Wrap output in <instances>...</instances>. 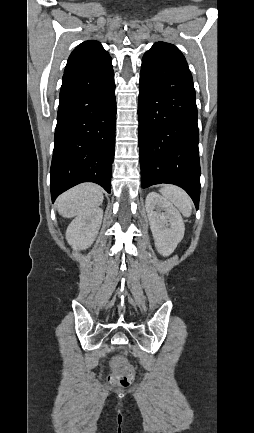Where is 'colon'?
<instances>
[{
  "label": "colon",
  "instance_id": "colon-1",
  "mask_svg": "<svg viewBox=\"0 0 254 433\" xmlns=\"http://www.w3.org/2000/svg\"><path fill=\"white\" fill-rule=\"evenodd\" d=\"M113 368L116 372V377L112 380L117 385L127 387L134 379L133 368L123 359H117L113 362Z\"/></svg>",
  "mask_w": 254,
  "mask_h": 433
}]
</instances>
